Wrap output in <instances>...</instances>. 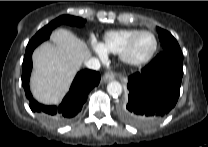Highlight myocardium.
Wrapping results in <instances>:
<instances>
[{
	"instance_id": "myocardium-1",
	"label": "myocardium",
	"mask_w": 208,
	"mask_h": 147,
	"mask_svg": "<svg viewBox=\"0 0 208 147\" xmlns=\"http://www.w3.org/2000/svg\"><path fill=\"white\" fill-rule=\"evenodd\" d=\"M144 34H149L153 37V39H154V48H153L152 52L146 58H144L142 60H134L131 57V51H132L133 46L135 45L136 41L139 39V37H141ZM158 47H159V43H158V39H157L156 35L152 31L141 30L140 32L135 34L127 42V44L124 46L122 51L119 53V57H120V60L127 66H130V67L143 66V65L149 63L154 58V56L156 55V53L158 51Z\"/></svg>"
}]
</instances>
